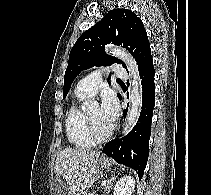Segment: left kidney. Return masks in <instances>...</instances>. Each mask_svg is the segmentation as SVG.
Wrapping results in <instances>:
<instances>
[{
    "instance_id": "obj_1",
    "label": "left kidney",
    "mask_w": 211,
    "mask_h": 195,
    "mask_svg": "<svg viewBox=\"0 0 211 195\" xmlns=\"http://www.w3.org/2000/svg\"><path fill=\"white\" fill-rule=\"evenodd\" d=\"M135 188V180L132 176H123L120 178L115 187L114 195H131Z\"/></svg>"
}]
</instances>
